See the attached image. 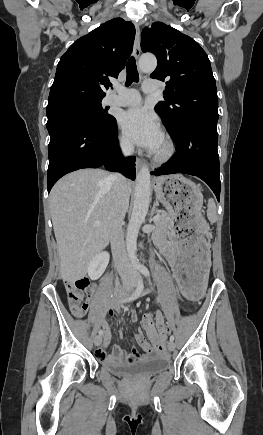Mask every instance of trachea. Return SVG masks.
I'll use <instances>...</instances> for the list:
<instances>
[{"mask_svg": "<svg viewBox=\"0 0 263 435\" xmlns=\"http://www.w3.org/2000/svg\"><path fill=\"white\" fill-rule=\"evenodd\" d=\"M126 72H127L126 83H125L126 86L131 85L132 82L139 81V74L137 71L136 61L134 57H130V59L128 60L126 65Z\"/></svg>", "mask_w": 263, "mask_h": 435, "instance_id": "trachea-1", "label": "trachea"}]
</instances>
